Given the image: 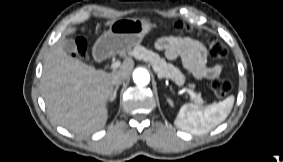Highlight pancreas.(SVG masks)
I'll return each instance as SVG.
<instances>
[{
    "mask_svg": "<svg viewBox=\"0 0 283 162\" xmlns=\"http://www.w3.org/2000/svg\"><path fill=\"white\" fill-rule=\"evenodd\" d=\"M132 54L136 59L150 63L154 71L157 72L159 76L171 79L178 85H182L184 83L185 79L181 71L171 63H167L164 58H161L159 54L154 53L152 50L146 49L143 46H137L133 50ZM192 98L198 104L203 103L200 94H195Z\"/></svg>",
    "mask_w": 283,
    "mask_h": 162,
    "instance_id": "obj_1",
    "label": "pancreas"
}]
</instances>
